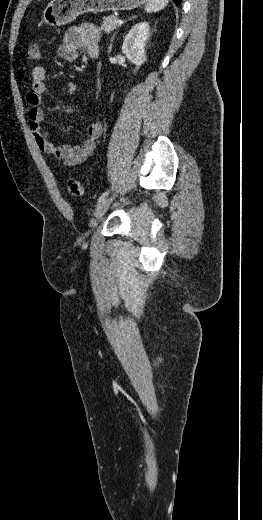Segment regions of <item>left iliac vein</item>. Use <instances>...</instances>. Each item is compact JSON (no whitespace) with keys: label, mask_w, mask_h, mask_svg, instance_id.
Segmentation results:
<instances>
[{"label":"left iliac vein","mask_w":263,"mask_h":520,"mask_svg":"<svg viewBox=\"0 0 263 520\" xmlns=\"http://www.w3.org/2000/svg\"><path fill=\"white\" fill-rule=\"evenodd\" d=\"M112 202V198H105L96 208L95 217L97 219L101 218L106 211L108 210L110 204Z\"/></svg>","instance_id":"1"}]
</instances>
